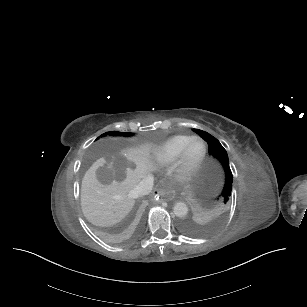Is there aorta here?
<instances>
[{"mask_svg":"<svg viewBox=\"0 0 307 307\" xmlns=\"http://www.w3.org/2000/svg\"><path fill=\"white\" fill-rule=\"evenodd\" d=\"M173 212L177 217H185L188 213V207L183 202H177L173 207Z\"/></svg>","mask_w":307,"mask_h":307,"instance_id":"obj_1","label":"aorta"}]
</instances>
